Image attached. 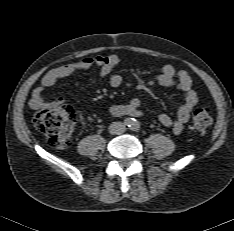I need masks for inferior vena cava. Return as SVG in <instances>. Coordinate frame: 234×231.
Wrapping results in <instances>:
<instances>
[{
    "label": "inferior vena cava",
    "instance_id": "1",
    "mask_svg": "<svg viewBox=\"0 0 234 231\" xmlns=\"http://www.w3.org/2000/svg\"><path fill=\"white\" fill-rule=\"evenodd\" d=\"M109 131L111 134H122L125 131V125L122 124L121 122H113L109 126Z\"/></svg>",
    "mask_w": 234,
    "mask_h": 231
}]
</instances>
